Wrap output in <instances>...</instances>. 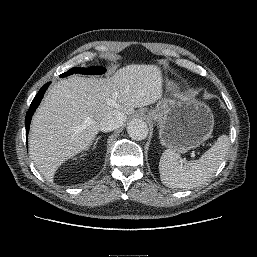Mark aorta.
<instances>
[{
    "label": "aorta",
    "instance_id": "obj_1",
    "mask_svg": "<svg viewBox=\"0 0 257 257\" xmlns=\"http://www.w3.org/2000/svg\"><path fill=\"white\" fill-rule=\"evenodd\" d=\"M127 132L134 140H144L148 135V126L144 120L134 118L128 123Z\"/></svg>",
    "mask_w": 257,
    "mask_h": 257
}]
</instances>
